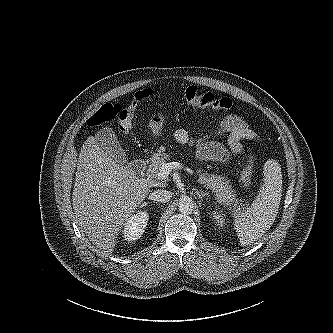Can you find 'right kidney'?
Listing matches in <instances>:
<instances>
[{
    "label": "right kidney",
    "mask_w": 333,
    "mask_h": 333,
    "mask_svg": "<svg viewBox=\"0 0 333 333\" xmlns=\"http://www.w3.org/2000/svg\"><path fill=\"white\" fill-rule=\"evenodd\" d=\"M148 217V213L146 211H142L130 216L127 219L123 229V236L126 241H136L142 236L148 222Z\"/></svg>",
    "instance_id": "obj_1"
}]
</instances>
